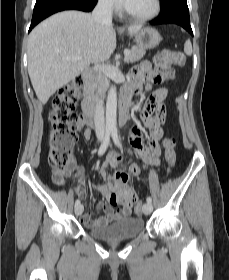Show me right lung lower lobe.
<instances>
[{
  "label": "right lung lower lobe",
  "mask_w": 229,
  "mask_h": 280,
  "mask_svg": "<svg viewBox=\"0 0 229 280\" xmlns=\"http://www.w3.org/2000/svg\"><path fill=\"white\" fill-rule=\"evenodd\" d=\"M97 0H37L29 32L40 21L48 16L63 10L91 11L96 5Z\"/></svg>",
  "instance_id": "obj_1"
}]
</instances>
